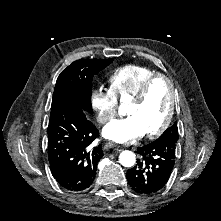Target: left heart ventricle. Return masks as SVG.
I'll use <instances>...</instances> for the list:
<instances>
[{"label":"left heart ventricle","instance_id":"left-heart-ventricle-1","mask_svg":"<svg viewBox=\"0 0 221 221\" xmlns=\"http://www.w3.org/2000/svg\"><path fill=\"white\" fill-rule=\"evenodd\" d=\"M170 101V93L165 81L159 80L153 84L145 101L140 105L130 103L125 113L132 117L144 134L157 129L164 121Z\"/></svg>","mask_w":221,"mask_h":221}]
</instances>
